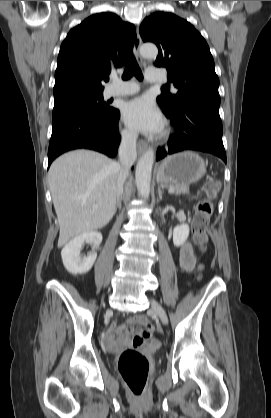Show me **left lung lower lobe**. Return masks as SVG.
I'll use <instances>...</instances> for the list:
<instances>
[{"label":"left lung lower lobe","instance_id":"0a47b994","mask_svg":"<svg viewBox=\"0 0 271 418\" xmlns=\"http://www.w3.org/2000/svg\"><path fill=\"white\" fill-rule=\"evenodd\" d=\"M164 113L171 119L175 133L170 137L166 150L158 149L157 160L180 151L197 150L214 154L226 162L218 106L188 101L177 111Z\"/></svg>","mask_w":271,"mask_h":418}]
</instances>
